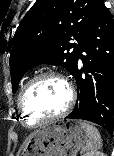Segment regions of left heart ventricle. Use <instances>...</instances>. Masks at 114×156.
<instances>
[{"label":"left heart ventricle","mask_w":114,"mask_h":156,"mask_svg":"<svg viewBox=\"0 0 114 156\" xmlns=\"http://www.w3.org/2000/svg\"><path fill=\"white\" fill-rule=\"evenodd\" d=\"M67 102V90L55 78H43L32 84L22 97L26 120L30 123L60 112Z\"/></svg>","instance_id":"obj_1"}]
</instances>
